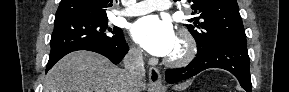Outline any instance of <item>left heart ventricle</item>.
<instances>
[{
	"label": "left heart ventricle",
	"mask_w": 289,
	"mask_h": 92,
	"mask_svg": "<svg viewBox=\"0 0 289 92\" xmlns=\"http://www.w3.org/2000/svg\"><path fill=\"white\" fill-rule=\"evenodd\" d=\"M181 50H182L181 44L177 40L175 47L169 56L178 55L181 52Z\"/></svg>",
	"instance_id": "left-heart-ventricle-1"
}]
</instances>
